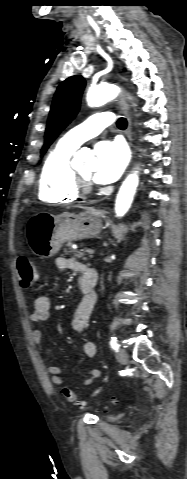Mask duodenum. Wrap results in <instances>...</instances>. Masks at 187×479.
<instances>
[{"label": "duodenum", "instance_id": "1", "mask_svg": "<svg viewBox=\"0 0 187 479\" xmlns=\"http://www.w3.org/2000/svg\"><path fill=\"white\" fill-rule=\"evenodd\" d=\"M97 285V275L94 270H88L81 284V291L85 296H91Z\"/></svg>", "mask_w": 187, "mask_h": 479}]
</instances>
